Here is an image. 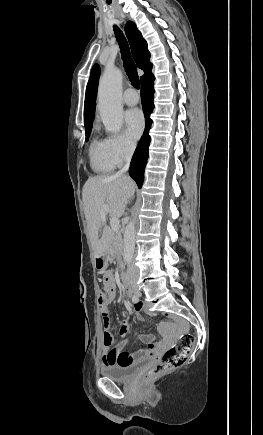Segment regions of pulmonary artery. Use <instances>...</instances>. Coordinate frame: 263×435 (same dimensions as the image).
Here are the masks:
<instances>
[{
    "mask_svg": "<svg viewBox=\"0 0 263 435\" xmlns=\"http://www.w3.org/2000/svg\"><path fill=\"white\" fill-rule=\"evenodd\" d=\"M123 102L127 106H135L139 102V96L134 89H128L124 93Z\"/></svg>",
    "mask_w": 263,
    "mask_h": 435,
    "instance_id": "1",
    "label": "pulmonary artery"
}]
</instances>
